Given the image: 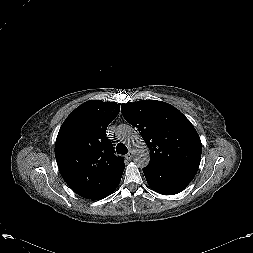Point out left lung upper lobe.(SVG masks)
Returning <instances> with one entry per match:
<instances>
[{
    "label": "left lung upper lobe",
    "mask_w": 253,
    "mask_h": 253,
    "mask_svg": "<svg viewBox=\"0 0 253 253\" xmlns=\"http://www.w3.org/2000/svg\"><path fill=\"white\" fill-rule=\"evenodd\" d=\"M121 112L146 142L150 162L199 167L200 137L178 109L162 101L143 100L122 104Z\"/></svg>",
    "instance_id": "5c2ea615"
}]
</instances>
